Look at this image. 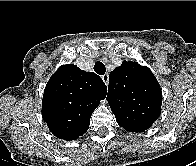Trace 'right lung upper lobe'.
Returning a JSON list of instances; mask_svg holds the SVG:
<instances>
[{
    "label": "right lung upper lobe",
    "instance_id": "cb5924a9",
    "mask_svg": "<svg viewBox=\"0 0 196 166\" xmlns=\"http://www.w3.org/2000/svg\"><path fill=\"white\" fill-rule=\"evenodd\" d=\"M106 94V85L95 73L62 65L45 87L43 120L59 139H77L88 130L91 115Z\"/></svg>",
    "mask_w": 196,
    "mask_h": 166
}]
</instances>
